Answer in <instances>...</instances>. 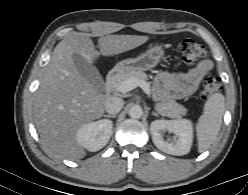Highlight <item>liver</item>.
<instances>
[{
    "label": "liver",
    "instance_id": "obj_1",
    "mask_svg": "<svg viewBox=\"0 0 248 195\" xmlns=\"http://www.w3.org/2000/svg\"><path fill=\"white\" fill-rule=\"evenodd\" d=\"M148 39V36L137 35L101 36L98 52L90 34L73 32L56 45L33 102L35 126L43 143L53 153L67 159L83 158L86 152L77 143V131L100 118L107 101L80 75L73 55L78 54L92 64L100 55H117Z\"/></svg>",
    "mask_w": 248,
    "mask_h": 195
}]
</instances>
